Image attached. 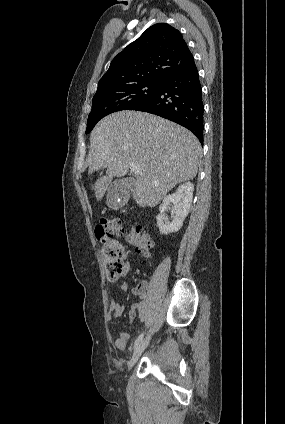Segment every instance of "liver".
Instances as JSON below:
<instances>
[{
	"instance_id": "obj_1",
	"label": "liver",
	"mask_w": 285,
	"mask_h": 424,
	"mask_svg": "<svg viewBox=\"0 0 285 424\" xmlns=\"http://www.w3.org/2000/svg\"><path fill=\"white\" fill-rule=\"evenodd\" d=\"M88 173L107 168L95 182L98 201L113 177L128 173L130 164L142 169L134 190L139 205L154 207L178 183L193 179L201 145L186 128L156 115L120 111L103 118L90 136Z\"/></svg>"
}]
</instances>
